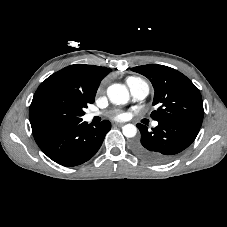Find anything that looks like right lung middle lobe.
<instances>
[{"label": "right lung middle lobe", "mask_w": 227, "mask_h": 227, "mask_svg": "<svg viewBox=\"0 0 227 227\" xmlns=\"http://www.w3.org/2000/svg\"><path fill=\"white\" fill-rule=\"evenodd\" d=\"M78 92L54 82H43L34 94L29 117L32 130L81 120L93 103Z\"/></svg>", "instance_id": "right-lung-middle-lobe-1"}]
</instances>
